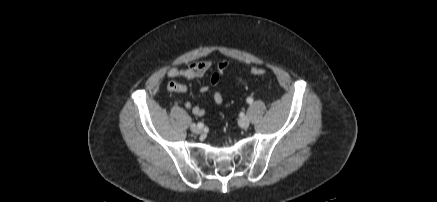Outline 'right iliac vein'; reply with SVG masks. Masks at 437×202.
Returning <instances> with one entry per match:
<instances>
[{
    "label": "right iliac vein",
    "instance_id": "63e3f726",
    "mask_svg": "<svg viewBox=\"0 0 437 202\" xmlns=\"http://www.w3.org/2000/svg\"><path fill=\"white\" fill-rule=\"evenodd\" d=\"M191 131H192L193 133H195V134H200V133L203 132V129H202V127H199V126L196 125V124H192V125H191Z\"/></svg>",
    "mask_w": 437,
    "mask_h": 202
}]
</instances>
